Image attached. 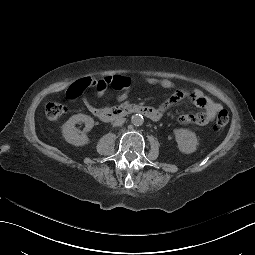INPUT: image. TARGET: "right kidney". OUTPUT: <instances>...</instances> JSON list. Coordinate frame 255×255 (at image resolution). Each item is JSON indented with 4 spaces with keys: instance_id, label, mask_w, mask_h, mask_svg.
I'll list each match as a JSON object with an SVG mask.
<instances>
[{
    "instance_id": "1",
    "label": "right kidney",
    "mask_w": 255,
    "mask_h": 255,
    "mask_svg": "<svg viewBox=\"0 0 255 255\" xmlns=\"http://www.w3.org/2000/svg\"><path fill=\"white\" fill-rule=\"evenodd\" d=\"M83 122L86 125V130H90L94 126V120L85 115L77 114L69 118V120L61 126L62 134L66 142L74 146H85L89 143V138L86 134L78 135L79 130L75 127L76 123Z\"/></svg>"
}]
</instances>
